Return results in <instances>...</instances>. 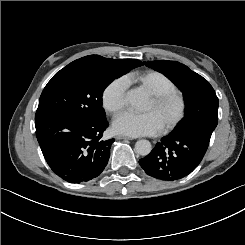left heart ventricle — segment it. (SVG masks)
I'll return each instance as SVG.
<instances>
[{"label": "left heart ventricle", "instance_id": "obj_1", "mask_svg": "<svg viewBox=\"0 0 245 245\" xmlns=\"http://www.w3.org/2000/svg\"><path fill=\"white\" fill-rule=\"evenodd\" d=\"M176 109L177 105L175 103H169L161 108H156L154 107L153 102L149 97L145 111H152L157 116L162 125L165 120L176 111Z\"/></svg>", "mask_w": 245, "mask_h": 245}]
</instances>
